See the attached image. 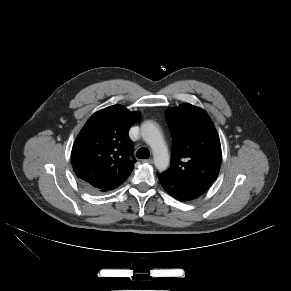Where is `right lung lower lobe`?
<instances>
[{
	"label": "right lung lower lobe",
	"instance_id": "right-lung-lower-lobe-1",
	"mask_svg": "<svg viewBox=\"0 0 291 291\" xmlns=\"http://www.w3.org/2000/svg\"><path fill=\"white\" fill-rule=\"evenodd\" d=\"M82 183L84 184V186H85L88 190H90V191H92V192H106V191H109V190L115 189L116 187H118V186L120 185V184H118V185H115V186H112V187H107L106 190H100V189L93 188V187L89 186L88 184H86V183H84V182H82Z\"/></svg>",
	"mask_w": 291,
	"mask_h": 291
}]
</instances>
